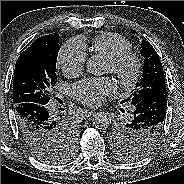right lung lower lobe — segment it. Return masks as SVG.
Masks as SVG:
<instances>
[{
    "instance_id": "1",
    "label": "right lung lower lobe",
    "mask_w": 184,
    "mask_h": 184,
    "mask_svg": "<svg viewBox=\"0 0 184 184\" xmlns=\"http://www.w3.org/2000/svg\"><path fill=\"white\" fill-rule=\"evenodd\" d=\"M19 131L32 152L52 147L62 129L68 126L63 115L54 116L47 104L24 102L15 106Z\"/></svg>"
}]
</instances>
